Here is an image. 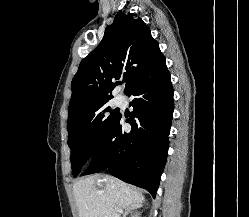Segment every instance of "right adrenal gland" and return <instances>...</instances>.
Segmentation results:
<instances>
[{
	"instance_id": "1",
	"label": "right adrenal gland",
	"mask_w": 249,
	"mask_h": 217,
	"mask_svg": "<svg viewBox=\"0 0 249 217\" xmlns=\"http://www.w3.org/2000/svg\"><path fill=\"white\" fill-rule=\"evenodd\" d=\"M135 206L129 207L127 209H125L124 213H123V217H127L128 214H130L132 212V210H134Z\"/></svg>"
}]
</instances>
